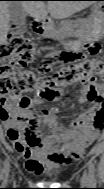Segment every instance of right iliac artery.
I'll use <instances>...</instances> for the list:
<instances>
[{"instance_id": "1", "label": "right iliac artery", "mask_w": 104, "mask_h": 189, "mask_svg": "<svg viewBox=\"0 0 104 189\" xmlns=\"http://www.w3.org/2000/svg\"><path fill=\"white\" fill-rule=\"evenodd\" d=\"M9 167H10V165H9V159H7L5 161V163H4V168H3V174L5 176V177H3V181L4 182H7V174L9 172Z\"/></svg>"}]
</instances>
